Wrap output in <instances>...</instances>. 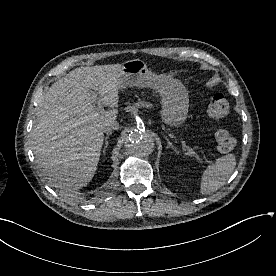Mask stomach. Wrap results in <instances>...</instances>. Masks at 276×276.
<instances>
[{
	"instance_id": "obj_1",
	"label": "stomach",
	"mask_w": 276,
	"mask_h": 276,
	"mask_svg": "<svg viewBox=\"0 0 276 276\" xmlns=\"http://www.w3.org/2000/svg\"><path fill=\"white\" fill-rule=\"evenodd\" d=\"M118 80L119 88L137 86L156 90L161 96V118L164 123L179 126L186 120L189 108L187 90L172 75L152 72L144 61L133 59L122 64Z\"/></svg>"
}]
</instances>
